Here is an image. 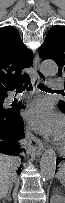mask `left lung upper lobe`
Wrapping results in <instances>:
<instances>
[{"label":"left lung upper lobe","mask_w":65,"mask_h":203,"mask_svg":"<svg viewBox=\"0 0 65 203\" xmlns=\"http://www.w3.org/2000/svg\"><path fill=\"white\" fill-rule=\"evenodd\" d=\"M38 51L43 59L55 60L59 66L58 76L65 79V26H53ZM59 109L65 112V100H60Z\"/></svg>","instance_id":"5c2ea615"}]
</instances>
